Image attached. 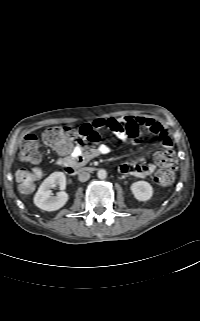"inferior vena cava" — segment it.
I'll return each mask as SVG.
<instances>
[{"label": "inferior vena cava", "mask_w": 200, "mask_h": 321, "mask_svg": "<svg viewBox=\"0 0 200 321\" xmlns=\"http://www.w3.org/2000/svg\"><path fill=\"white\" fill-rule=\"evenodd\" d=\"M89 178H90V174L88 172L83 171V172L79 173V176H78L79 181L85 182V181L89 180Z\"/></svg>", "instance_id": "602c4592"}]
</instances>
